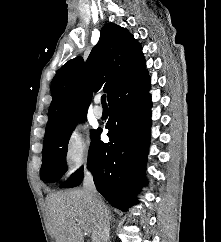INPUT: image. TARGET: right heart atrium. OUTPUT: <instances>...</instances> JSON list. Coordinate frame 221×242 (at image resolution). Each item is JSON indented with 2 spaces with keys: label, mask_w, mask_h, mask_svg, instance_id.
<instances>
[{
  "label": "right heart atrium",
  "mask_w": 221,
  "mask_h": 242,
  "mask_svg": "<svg viewBox=\"0 0 221 242\" xmlns=\"http://www.w3.org/2000/svg\"><path fill=\"white\" fill-rule=\"evenodd\" d=\"M92 153L86 134L73 131L64 141L61 151V162L67 177H72L87 168Z\"/></svg>",
  "instance_id": "obj_1"
}]
</instances>
